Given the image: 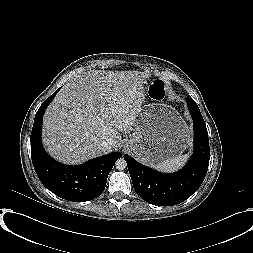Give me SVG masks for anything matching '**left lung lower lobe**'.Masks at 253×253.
I'll return each instance as SVG.
<instances>
[{"mask_svg": "<svg viewBox=\"0 0 253 253\" xmlns=\"http://www.w3.org/2000/svg\"><path fill=\"white\" fill-rule=\"evenodd\" d=\"M194 124V154L176 173L164 174L124 155L136 193L145 201L172 206L188 199L202 184L207 173L210 148L206 124L196 102L186 98Z\"/></svg>", "mask_w": 253, "mask_h": 253, "instance_id": "left-lung-lower-lobe-1", "label": "left lung lower lobe"}]
</instances>
